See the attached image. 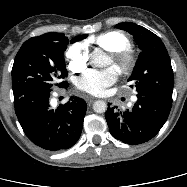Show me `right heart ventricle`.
<instances>
[{
  "label": "right heart ventricle",
  "mask_w": 187,
  "mask_h": 187,
  "mask_svg": "<svg viewBox=\"0 0 187 187\" xmlns=\"http://www.w3.org/2000/svg\"><path fill=\"white\" fill-rule=\"evenodd\" d=\"M91 41L108 52L129 50L131 48L130 39L119 31L101 33L95 36Z\"/></svg>",
  "instance_id": "e07e8e85"
}]
</instances>
